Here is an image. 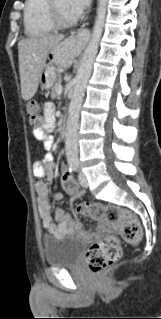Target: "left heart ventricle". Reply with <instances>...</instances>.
Returning a JSON list of instances; mask_svg holds the SVG:
<instances>
[{
	"label": "left heart ventricle",
	"instance_id": "left-heart-ventricle-1",
	"mask_svg": "<svg viewBox=\"0 0 161 319\" xmlns=\"http://www.w3.org/2000/svg\"><path fill=\"white\" fill-rule=\"evenodd\" d=\"M56 4L62 14L65 18H73L74 15L70 13V11L67 8V1L66 0H56Z\"/></svg>",
	"mask_w": 161,
	"mask_h": 319
}]
</instances>
